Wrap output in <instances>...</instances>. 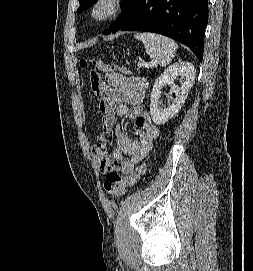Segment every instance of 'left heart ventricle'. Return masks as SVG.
<instances>
[{
    "label": "left heart ventricle",
    "instance_id": "1",
    "mask_svg": "<svg viewBox=\"0 0 253 271\" xmlns=\"http://www.w3.org/2000/svg\"><path fill=\"white\" fill-rule=\"evenodd\" d=\"M106 10H107V6H103V7H101L99 13L102 14V13H104Z\"/></svg>",
    "mask_w": 253,
    "mask_h": 271
}]
</instances>
